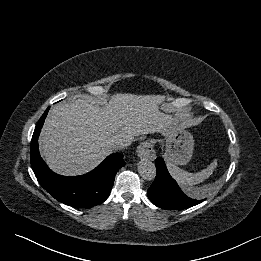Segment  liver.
<instances>
[{"label": "liver", "instance_id": "1", "mask_svg": "<svg viewBox=\"0 0 261 261\" xmlns=\"http://www.w3.org/2000/svg\"><path fill=\"white\" fill-rule=\"evenodd\" d=\"M161 95L114 94L100 106L92 98L59 103L42 128L40 152L59 174L80 175L99 165L113 152L117 139L161 133L170 115L159 110Z\"/></svg>", "mask_w": 261, "mask_h": 261}]
</instances>
